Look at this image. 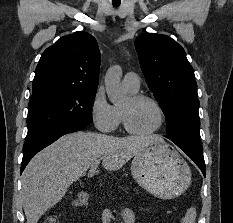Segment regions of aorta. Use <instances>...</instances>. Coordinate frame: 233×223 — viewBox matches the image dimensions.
I'll use <instances>...</instances> for the list:
<instances>
[{
    "mask_svg": "<svg viewBox=\"0 0 233 223\" xmlns=\"http://www.w3.org/2000/svg\"><path fill=\"white\" fill-rule=\"evenodd\" d=\"M122 68L112 66L108 68L105 76V88L107 96L112 104H123L127 100V94L121 86Z\"/></svg>",
    "mask_w": 233,
    "mask_h": 223,
    "instance_id": "1",
    "label": "aorta"
}]
</instances>
